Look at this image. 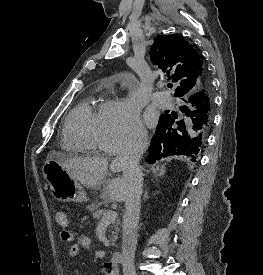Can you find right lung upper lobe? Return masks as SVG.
I'll return each mask as SVG.
<instances>
[{"mask_svg": "<svg viewBox=\"0 0 263 275\" xmlns=\"http://www.w3.org/2000/svg\"><path fill=\"white\" fill-rule=\"evenodd\" d=\"M150 60L174 82L176 97L193 93L206 86V68L201 56L180 34L157 36L150 50ZM206 107L208 121L212 123V92L208 94Z\"/></svg>", "mask_w": 263, "mask_h": 275, "instance_id": "cb5924a9", "label": "right lung upper lobe"}]
</instances>
